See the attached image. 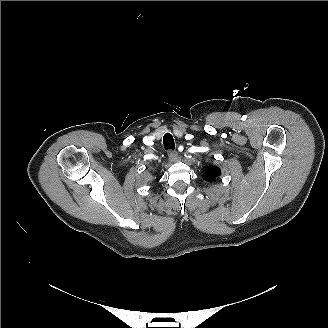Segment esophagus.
<instances>
[{
  "mask_svg": "<svg viewBox=\"0 0 328 328\" xmlns=\"http://www.w3.org/2000/svg\"><path fill=\"white\" fill-rule=\"evenodd\" d=\"M168 158L170 161H176L178 159V153L176 151H169Z\"/></svg>",
  "mask_w": 328,
  "mask_h": 328,
  "instance_id": "esophagus-1",
  "label": "esophagus"
}]
</instances>
